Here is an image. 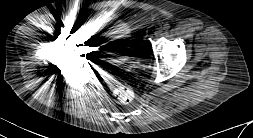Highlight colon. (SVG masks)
Returning a JSON list of instances; mask_svg holds the SVG:
<instances>
[{
    "label": "colon",
    "mask_w": 253,
    "mask_h": 138,
    "mask_svg": "<svg viewBox=\"0 0 253 138\" xmlns=\"http://www.w3.org/2000/svg\"><path fill=\"white\" fill-rule=\"evenodd\" d=\"M133 97V87L127 84L119 85L113 92L114 100L122 105L130 103Z\"/></svg>",
    "instance_id": "obj_1"
}]
</instances>
